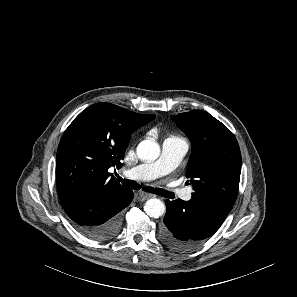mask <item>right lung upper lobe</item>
<instances>
[{
  "mask_svg": "<svg viewBox=\"0 0 297 297\" xmlns=\"http://www.w3.org/2000/svg\"><path fill=\"white\" fill-rule=\"evenodd\" d=\"M154 118L109 103L82 111L64 132L57 150L56 181L63 208L92 191L125 189L108 169L121 167L132 131Z\"/></svg>",
  "mask_w": 297,
  "mask_h": 297,
  "instance_id": "obj_1",
  "label": "right lung upper lobe"
}]
</instances>
